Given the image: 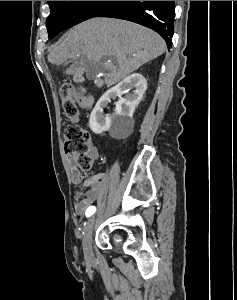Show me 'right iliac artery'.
<instances>
[{
    "mask_svg": "<svg viewBox=\"0 0 237 300\" xmlns=\"http://www.w3.org/2000/svg\"><path fill=\"white\" fill-rule=\"evenodd\" d=\"M96 211V207L95 206H90L87 208L85 215L86 217H90L91 215H93Z\"/></svg>",
    "mask_w": 237,
    "mask_h": 300,
    "instance_id": "right-iliac-artery-1",
    "label": "right iliac artery"
}]
</instances>
